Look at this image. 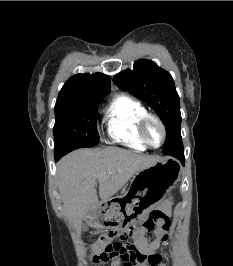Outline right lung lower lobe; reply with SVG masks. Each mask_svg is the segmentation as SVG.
Instances as JSON below:
<instances>
[{"label": "right lung lower lobe", "instance_id": "98d812e1", "mask_svg": "<svg viewBox=\"0 0 233 266\" xmlns=\"http://www.w3.org/2000/svg\"><path fill=\"white\" fill-rule=\"evenodd\" d=\"M61 157L62 155H55V161H58Z\"/></svg>", "mask_w": 233, "mask_h": 266}]
</instances>
